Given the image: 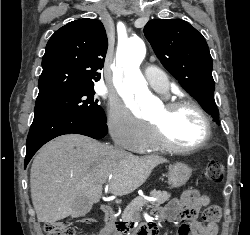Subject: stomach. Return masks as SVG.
Instances as JSON below:
<instances>
[{
	"label": "stomach",
	"instance_id": "obj_1",
	"mask_svg": "<svg viewBox=\"0 0 250 235\" xmlns=\"http://www.w3.org/2000/svg\"><path fill=\"white\" fill-rule=\"evenodd\" d=\"M191 168L184 163H175L169 166L168 183L172 188H179L186 184L191 177Z\"/></svg>",
	"mask_w": 250,
	"mask_h": 235
}]
</instances>
